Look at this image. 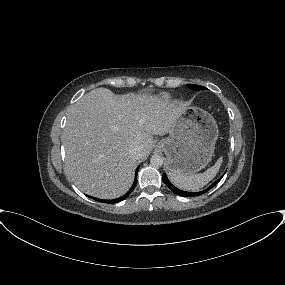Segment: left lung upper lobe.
I'll list each match as a JSON object with an SVG mask.
<instances>
[{"instance_id":"obj_1","label":"left lung upper lobe","mask_w":285,"mask_h":285,"mask_svg":"<svg viewBox=\"0 0 285 285\" xmlns=\"http://www.w3.org/2000/svg\"><path fill=\"white\" fill-rule=\"evenodd\" d=\"M187 86H188L190 89L196 90V91H198V90H206L205 87L199 86V85H195V84H187Z\"/></svg>"}]
</instances>
